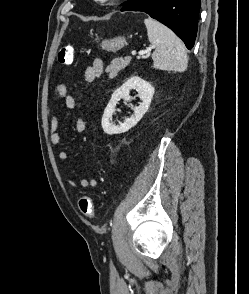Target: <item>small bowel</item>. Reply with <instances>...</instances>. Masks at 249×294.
Here are the masks:
<instances>
[{"instance_id": "small-bowel-1", "label": "small bowel", "mask_w": 249, "mask_h": 294, "mask_svg": "<svg viewBox=\"0 0 249 294\" xmlns=\"http://www.w3.org/2000/svg\"><path fill=\"white\" fill-rule=\"evenodd\" d=\"M103 72V61L100 58H95L92 63L85 68V81L91 83L101 77ZM62 101H64L66 108L69 110L74 109L76 106L75 96L71 93H68L67 87L64 84H60L55 87L51 98V103L56 110ZM75 129L78 133H84L87 130L86 121L82 118H78L75 122ZM49 137L53 146L60 145L61 137L59 132V117L57 112H55L51 117ZM57 157L62 162L68 161V154L65 151H59ZM65 182L73 189H77L78 187L96 188L98 185V181L94 178H80L78 181H75L69 177H66Z\"/></svg>"}]
</instances>
